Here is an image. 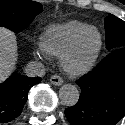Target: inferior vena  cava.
<instances>
[{
  "mask_svg": "<svg viewBox=\"0 0 125 125\" xmlns=\"http://www.w3.org/2000/svg\"><path fill=\"white\" fill-rule=\"evenodd\" d=\"M25 73L28 77H42L45 75V68L42 63L31 61L27 64Z\"/></svg>",
  "mask_w": 125,
  "mask_h": 125,
  "instance_id": "602c4592",
  "label": "inferior vena cava"
}]
</instances>
